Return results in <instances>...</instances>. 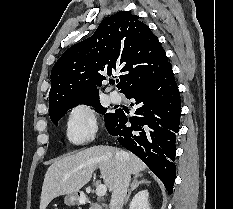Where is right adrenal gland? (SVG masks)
<instances>
[{"instance_id": "2a0ac1e0", "label": "right adrenal gland", "mask_w": 233, "mask_h": 209, "mask_svg": "<svg viewBox=\"0 0 233 209\" xmlns=\"http://www.w3.org/2000/svg\"><path fill=\"white\" fill-rule=\"evenodd\" d=\"M139 177H142V174H137L133 177V182H132L131 187L128 191V194L126 195V198H125V202H124L125 204L128 203L132 191H134L140 184H150V181L145 180V179L138 181Z\"/></svg>"}]
</instances>
